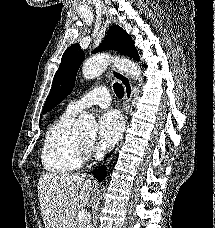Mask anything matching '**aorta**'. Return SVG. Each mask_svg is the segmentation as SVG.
<instances>
[{"mask_svg":"<svg viewBox=\"0 0 215 228\" xmlns=\"http://www.w3.org/2000/svg\"><path fill=\"white\" fill-rule=\"evenodd\" d=\"M112 60L108 54H101V56H96V58H91V60H85L82 66V74L86 80H93L100 76L104 72L107 66H110ZM122 68L127 70L133 78L136 80H141V70L137 64H132V62H125L122 64ZM94 118H91L89 114H81L77 122L73 126L74 132H85V134H95Z\"/></svg>","mask_w":215,"mask_h":228,"instance_id":"762f6f07","label":"aorta"}]
</instances>
